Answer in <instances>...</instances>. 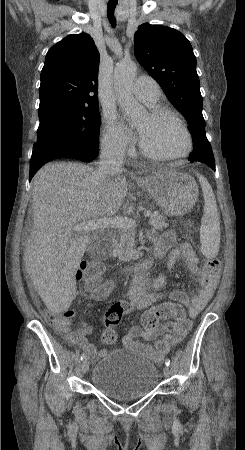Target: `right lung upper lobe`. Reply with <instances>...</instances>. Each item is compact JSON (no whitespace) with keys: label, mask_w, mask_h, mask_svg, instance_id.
Instances as JSON below:
<instances>
[{"label":"right lung upper lobe","mask_w":245,"mask_h":450,"mask_svg":"<svg viewBox=\"0 0 245 450\" xmlns=\"http://www.w3.org/2000/svg\"><path fill=\"white\" fill-rule=\"evenodd\" d=\"M99 52L90 35H69L49 49L41 72L39 109L63 103L98 105Z\"/></svg>","instance_id":"obj_1"}]
</instances>
